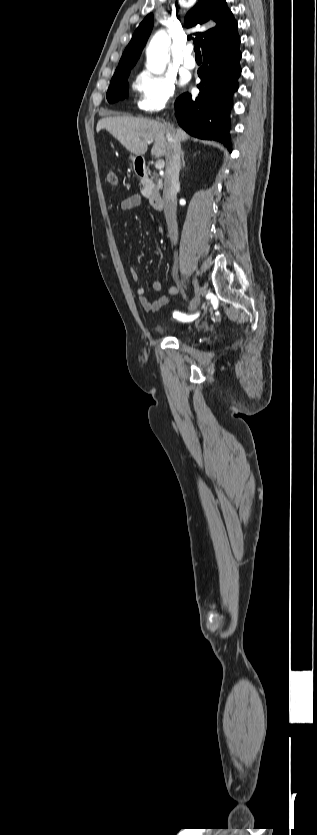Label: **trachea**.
I'll list each match as a JSON object with an SVG mask.
<instances>
[{"instance_id": "3493384b", "label": "trachea", "mask_w": 317, "mask_h": 835, "mask_svg": "<svg viewBox=\"0 0 317 835\" xmlns=\"http://www.w3.org/2000/svg\"><path fill=\"white\" fill-rule=\"evenodd\" d=\"M194 52H195L196 56H201V52H200V48H199L198 44L195 45Z\"/></svg>"}]
</instances>
